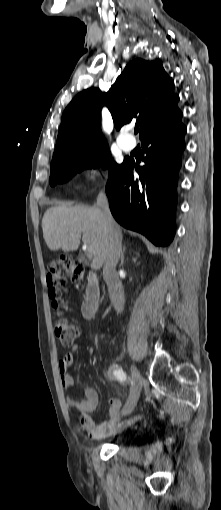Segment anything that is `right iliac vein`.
<instances>
[{"label":"right iliac vein","mask_w":221,"mask_h":510,"mask_svg":"<svg viewBox=\"0 0 221 510\" xmlns=\"http://www.w3.org/2000/svg\"><path fill=\"white\" fill-rule=\"evenodd\" d=\"M130 370H131V375H132L135 385L131 391V394H130V397H129L127 403L125 404V406L122 410L123 415L130 414L133 411V409L135 408L137 401L139 399V396H140V390L144 383V379L135 365H131Z\"/></svg>","instance_id":"obj_1"}]
</instances>
